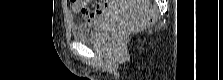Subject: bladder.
<instances>
[{"label":"bladder","instance_id":"1","mask_svg":"<svg viewBox=\"0 0 223 80\" xmlns=\"http://www.w3.org/2000/svg\"><path fill=\"white\" fill-rule=\"evenodd\" d=\"M114 9H109L100 19L88 23L76 24L72 27V36L78 41H96L100 38L104 23L113 14Z\"/></svg>","mask_w":223,"mask_h":80}]
</instances>
